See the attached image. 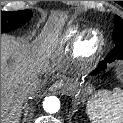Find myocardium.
<instances>
[{"label": "myocardium", "mask_w": 123, "mask_h": 123, "mask_svg": "<svg viewBox=\"0 0 123 123\" xmlns=\"http://www.w3.org/2000/svg\"><path fill=\"white\" fill-rule=\"evenodd\" d=\"M105 38L98 29H90L86 35L80 38L81 56L89 59L94 58L102 49Z\"/></svg>", "instance_id": "myocardium-1"}]
</instances>
